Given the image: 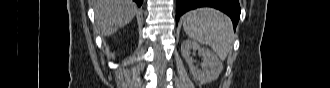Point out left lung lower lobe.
Masks as SVG:
<instances>
[{"label":"left lung lower lobe","mask_w":330,"mask_h":88,"mask_svg":"<svg viewBox=\"0 0 330 88\" xmlns=\"http://www.w3.org/2000/svg\"><path fill=\"white\" fill-rule=\"evenodd\" d=\"M204 6L213 7L226 13L231 18L235 30L241 12L239 0H177L176 23L185 12Z\"/></svg>","instance_id":"0a47b994"}]
</instances>
